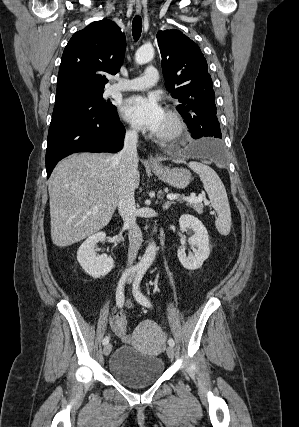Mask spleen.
I'll use <instances>...</instances> for the list:
<instances>
[{
    "mask_svg": "<svg viewBox=\"0 0 299 427\" xmlns=\"http://www.w3.org/2000/svg\"><path fill=\"white\" fill-rule=\"evenodd\" d=\"M188 166L199 175L208 194L212 207L217 212L215 226L222 235H228L231 229V211L226 189L217 173L208 165L190 162Z\"/></svg>",
    "mask_w": 299,
    "mask_h": 427,
    "instance_id": "obj_1",
    "label": "spleen"
}]
</instances>
